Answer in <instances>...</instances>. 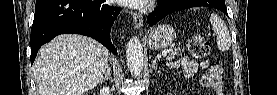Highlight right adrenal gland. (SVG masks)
Masks as SVG:
<instances>
[{"instance_id":"1","label":"right adrenal gland","mask_w":277,"mask_h":95,"mask_svg":"<svg viewBox=\"0 0 277 95\" xmlns=\"http://www.w3.org/2000/svg\"><path fill=\"white\" fill-rule=\"evenodd\" d=\"M111 68H110V66L108 65L107 66V68H106V71H105V74H104V76L102 77V79H101V84L102 83H105L106 81H108L109 80V78H110V76H111Z\"/></svg>"}]
</instances>
